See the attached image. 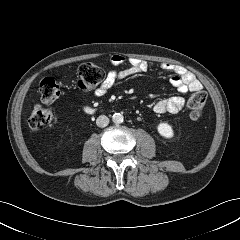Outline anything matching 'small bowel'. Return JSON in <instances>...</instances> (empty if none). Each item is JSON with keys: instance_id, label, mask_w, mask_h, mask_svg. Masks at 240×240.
<instances>
[{"instance_id": "obj_1", "label": "small bowel", "mask_w": 240, "mask_h": 240, "mask_svg": "<svg viewBox=\"0 0 240 240\" xmlns=\"http://www.w3.org/2000/svg\"><path fill=\"white\" fill-rule=\"evenodd\" d=\"M110 63L116 67H122L121 70L109 71L101 85L94 91L95 96H103L106 94L118 81L129 76L145 73L149 69L148 62L137 58H127L120 54H114L110 58ZM160 68L163 71L171 72L170 83L181 93L194 92L201 89V83L193 74L188 72L181 66L172 63H161ZM185 105V99L181 96H172L163 98L153 105V111L157 114L177 113Z\"/></svg>"}]
</instances>
